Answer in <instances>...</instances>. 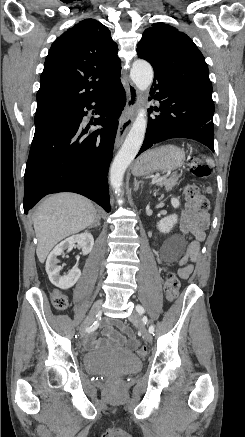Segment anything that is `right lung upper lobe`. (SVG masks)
Masks as SVG:
<instances>
[{
    "instance_id": "obj_1",
    "label": "right lung upper lobe",
    "mask_w": 245,
    "mask_h": 437,
    "mask_svg": "<svg viewBox=\"0 0 245 437\" xmlns=\"http://www.w3.org/2000/svg\"><path fill=\"white\" fill-rule=\"evenodd\" d=\"M109 29L85 19L58 37L46 57L37 110L92 99L120 80L121 62Z\"/></svg>"
}]
</instances>
